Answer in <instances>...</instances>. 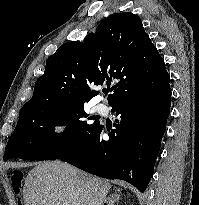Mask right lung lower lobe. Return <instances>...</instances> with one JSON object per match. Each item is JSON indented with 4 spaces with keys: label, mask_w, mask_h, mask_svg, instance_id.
I'll list each match as a JSON object with an SVG mask.
<instances>
[{
    "label": "right lung lower lobe",
    "mask_w": 199,
    "mask_h": 205,
    "mask_svg": "<svg viewBox=\"0 0 199 205\" xmlns=\"http://www.w3.org/2000/svg\"><path fill=\"white\" fill-rule=\"evenodd\" d=\"M169 75L141 78L109 105L119 116L109 139L101 124L80 151L60 160L106 179H121L144 192L154 170L170 113Z\"/></svg>",
    "instance_id": "obj_1"
}]
</instances>
